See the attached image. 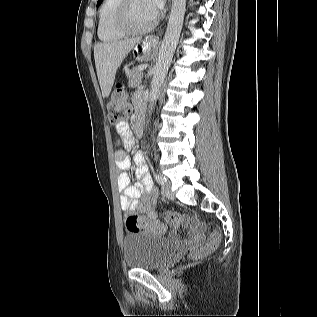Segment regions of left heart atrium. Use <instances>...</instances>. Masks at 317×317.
<instances>
[{"label":"left heart atrium","instance_id":"39dd6f15","mask_svg":"<svg viewBox=\"0 0 317 317\" xmlns=\"http://www.w3.org/2000/svg\"><path fill=\"white\" fill-rule=\"evenodd\" d=\"M147 1L155 16L159 14V12L161 11L165 3V0H147Z\"/></svg>","mask_w":317,"mask_h":317}]
</instances>
